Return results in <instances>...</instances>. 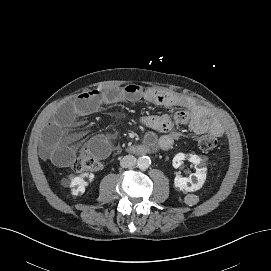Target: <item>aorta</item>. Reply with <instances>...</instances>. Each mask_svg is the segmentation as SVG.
<instances>
[{"label":"aorta","mask_w":271,"mask_h":271,"mask_svg":"<svg viewBox=\"0 0 271 271\" xmlns=\"http://www.w3.org/2000/svg\"><path fill=\"white\" fill-rule=\"evenodd\" d=\"M151 164V159L148 156H141L137 160V167L141 170H146Z\"/></svg>","instance_id":"1"}]
</instances>
